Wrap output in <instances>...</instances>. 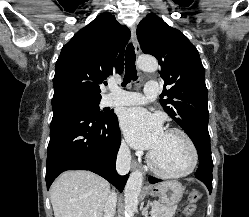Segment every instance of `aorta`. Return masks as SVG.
Here are the masks:
<instances>
[{
	"label": "aorta",
	"mask_w": 249,
	"mask_h": 217,
	"mask_svg": "<svg viewBox=\"0 0 249 217\" xmlns=\"http://www.w3.org/2000/svg\"><path fill=\"white\" fill-rule=\"evenodd\" d=\"M139 69L146 72H154L158 70V62L151 56H140L137 60ZM143 182V174L139 170L131 173L125 186V217H133L138 207V197L141 192Z\"/></svg>",
	"instance_id": "762f6f07"
}]
</instances>
